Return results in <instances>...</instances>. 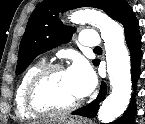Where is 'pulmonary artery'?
Listing matches in <instances>:
<instances>
[{"label":"pulmonary artery","mask_w":145,"mask_h":124,"mask_svg":"<svg viewBox=\"0 0 145 124\" xmlns=\"http://www.w3.org/2000/svg\"><path fill=\"white\" fill-rule=\"evenodd\" d=\"M80 40L85 47L96 48L101 44L98 32L94 29L83 30L80 34Z\"/></svg>","instance_id":"pulmonary-artery-1"}]
</instances>
